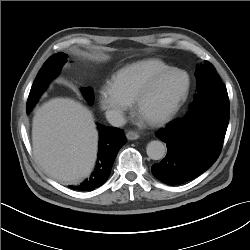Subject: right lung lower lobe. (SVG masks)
Instances as JSON below:
<instances>
[{"mask_svg":"<svg viewBox=\"0 0 250 250\" xmlns=\"http://www.w3.org/2000/svg\"><path fill=\"white\" fill-rule=\"evenodd\" d=\"M99 150L95 170L91 176L77 186H70L73 190L91 191L101 186L109 177L114 160L119 149L126 143L124 132L115 127L99 125Z\"/></svg>","mask_w":250,"mask_h":250,"instance_id":"1","label":"right lung lower lobe"}]
</instances>
